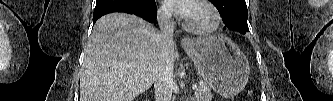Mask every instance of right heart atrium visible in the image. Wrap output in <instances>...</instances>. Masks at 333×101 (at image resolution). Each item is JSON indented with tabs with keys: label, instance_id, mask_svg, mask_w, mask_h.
I'll list each match as a JSON object with an SVG mask.
<instances>
[{
	"label": "right heart atrium",
	"instance_id": "obj_1",
	"mask_svg": "<svg viewBox=\"0 0 333 101\" xmlns=\"http://www.w3.org/2000/svg\"><path fill=\"white\" fill-rule=\"evenodd\" d=\"M159 16L162 20H170L172 17V13L169 8L163 6L159 10Z\"/></svg>",
	"mask_w": 333,
	"mask_h": 101
}]
</instances>
